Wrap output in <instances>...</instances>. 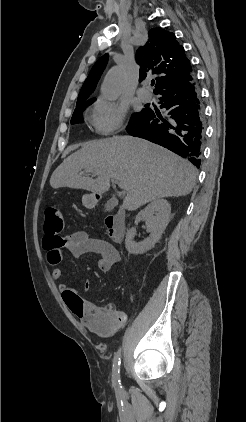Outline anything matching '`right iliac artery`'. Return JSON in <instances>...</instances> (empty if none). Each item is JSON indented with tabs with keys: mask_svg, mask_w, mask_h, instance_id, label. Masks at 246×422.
<instances>
[{
	"mask_svg": "<svg viewBox=\"0 0 246 422\" xmlns=\"http://www.w3.org/2000/svg\"><path fill=\"white\" fill-rule=\"evenodd\" d=\"M120 360V350H118L113 360V385L117 391L122 389L120 381Z\"/></svg>",
	"mask_w": 246,
	"mask_h": 422,
	"instance_id": "right-iliac-artery-1",
	"label": "right iliac artery"
}]
</instances>
